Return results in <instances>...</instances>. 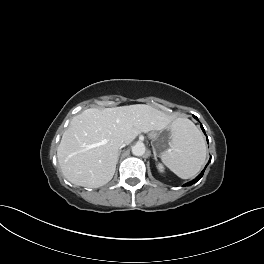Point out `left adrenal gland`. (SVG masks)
<instances>
[{
  "instance_id": "1",
  "label": "left adrenal gland",
  "mask_w": 264,
  "mask_h": 264,
  "mask_svg": "<svg viewBox=\"0 0 264 264\" xmlns=\"http://www.w3.org/2000/svg\"><path fill=\"white\" fill-rule=\"evenodd\" d=\"M153 154H154V159L157 160V154H156V151H155L154 147H153Z\"/></svg>"
}]
</instances>
